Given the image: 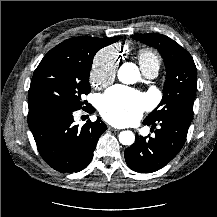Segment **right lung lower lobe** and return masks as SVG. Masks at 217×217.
I'll return each instance as SVG.
<instances>
[{
  "label": "right lung lower lobe",
  "mask_w": 217,
  "mask_h": 217,
  "mask_svg": "<svg viewBox=\"0 0 217 217\" xmlns=\"http://www.w3.org/2000/svg\"><path fill=\"white\" fill-rule=\"evenodd\" d=\"M83 109L95 111L90 104ZM74 111L48 108L28 114V125L40 155L49 166L62 173L83 170L92 160L97 141L107 128L99 117L82 127L74 125Z\"/></svg>",
  "instance_id": "obj_1"
}]
</instances>
